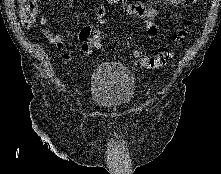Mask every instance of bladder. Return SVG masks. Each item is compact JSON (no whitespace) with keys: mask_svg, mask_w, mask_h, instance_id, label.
<instances>
[{"mask_svg":"<svg viewBox=\"0 0 221 174\" xmlns=\"http://www.w3.org/2000/svg\"><path fill=\"white\" fill-rule=\"evenodd\" d=\"M135 88V78L128 68L104 63L92 74L91 99L103 108L120 109L133 100Z\"/></svg>","mask_w":221,"mask_h":174,"instance_id":"bladder-1","label":"bladder"}]
</instances>
